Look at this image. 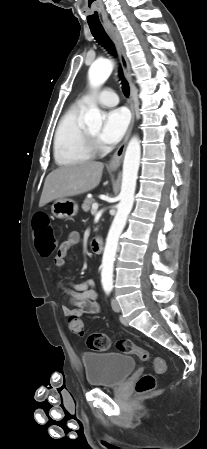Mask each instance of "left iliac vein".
I'll list each match as a JSON object with an SVG mask.
<instances>
[{"instance_id":"left-iliac-vein-1","label":"left iliac vein","mask_w":207,"mask_h":449,"mask_svg":"<svg viewBox=\"0 0 207 449\" xmlns=\"http://www.w3.org/2000/svg\"><path fill=\"white\" fill-rule=\"evenodd\" d=\"M111 306H112V309L115 311V312H119L120 311V306H119V304H118V301L116 300V299H112L111 300Z\"/></svg>"}]
</instances>
